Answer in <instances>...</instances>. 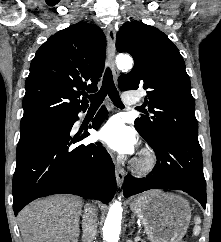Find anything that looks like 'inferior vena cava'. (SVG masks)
<instances>
[{"label": "inferior vena cava", "instance_id": "602c4592", "mask_svg": "<svg viewBox=\"0 0 221 242\" xmlns=\"http://www.w3.org/2000/svg\"><path fill=\"white\" fill-rule=\"evenodd\" d=\"M82 229V241L93 242L97 233V210L90 204H86L84 207Z\"/></svg>", "mask_w": 221, "mask_h": 242}]
</instances>
